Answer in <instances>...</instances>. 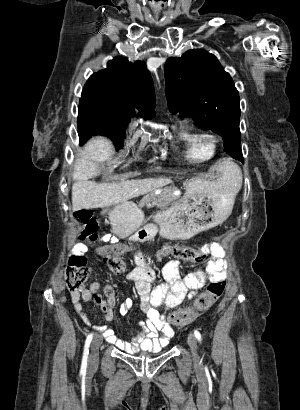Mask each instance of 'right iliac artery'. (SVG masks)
<instances>
[{"label": "right iliac artery", "instance_id": "82829eb1", "mask_svg": "<svg viewBox=\"0 0 300 410\" xmlns=\"http://www.w3.org/2000/svg\"><path fill=\"white\" fill-rule=\"evenodd\" d=\"M93 338V334L90 333L85 341V346H84V352H83V359H82V365H81V369L82 370H86V366H87V357H88V353H89V346L90 343L92 341Z\"/></svg>", "mask_w": 300, "mask_h": 410}]
</instances>
